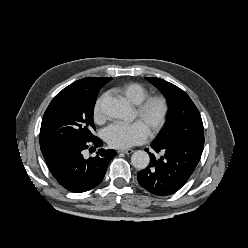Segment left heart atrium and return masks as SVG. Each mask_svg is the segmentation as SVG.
<instances>
[{"mask_svg": "<svg viewBox=\"0 0 248 248\" xmlns=\"http://www.w3.org/2000/svg\"><path fill=\"white\" fill-rule=\"evenodd\" d=\"M148 128L143 121L130 124L114 123L104 130L105 141L113 148L127 149L143 143L148 137Z\"/></svg>", "mask_w": 248, "mask_h": 248, "instance_id": "1", "label": "left heart atrium"}]
</instances>
